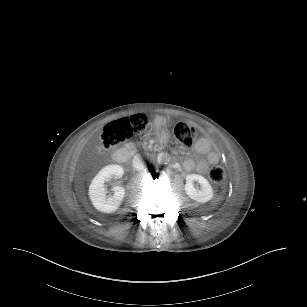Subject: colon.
I'll return each mask as SVG.
<instances>
[{
    "mask_svg": "<svg viewBox=\"0 0 307 307\" xmlns=\"http://www.w3.org/2000/svg\"><path fill=\"white\" fill-rule=\"evenodd\" d=\"M148 120L143 115L121 118L107 124L101 134V141L97 147L99 152L111 150L124 142L140 135L146 129ZM174 135L184 147H190L196 139V132L185 121H178L174 127ZM209 178L215 183L224 179V170L214 165L209 170Z\"/></svg>",
    "mask_w": 307,
    "mask_h": 307,
    "instance_id": "obj_1",
    "label": "colon"
}]
</instances>
